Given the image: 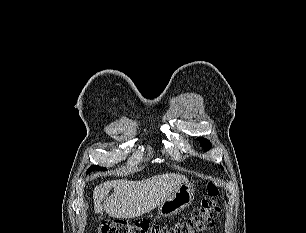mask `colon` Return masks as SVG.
Here are the masks:
<instances>
[{"label":"colon","instance_id":"obj_1","mask_svg":"<svg viewBox=\"0 0 306 233\" xmlns=\"http://www.w3.org/2000/svg\"><path fill=\"white\" fill-rule=\"evenodd\" d=\"M206 192L207 197L186 220L169 225L150 224L145 221L130 223L126 220H110L101 223L96 233H202L214 225L221 211L218 187L209 182L206 185Z\"/></svg>","mask_w":306,"mask_h":233}]
</instances>
